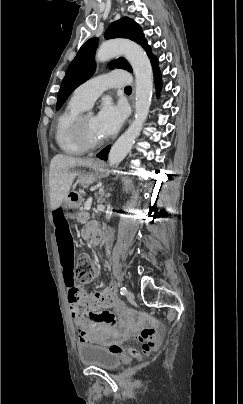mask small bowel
Segmentation results:
<instances>
[{"label":"small bowel","mask_w":243,"mask_h":404,"mask_svg":"<svg viewBox=\"0 0 243 404\" xmlns=\"http://www.w3.org/2000/svg\"><path fill=\"white\" fill-rule=\"evenodd\" d=\"M52 221L63 278L69 297L71 298L73 293L80 290L75 284L73 275V239L69 231L66 214L62 208L53 210ZM92 229L94 227L91 225L87 228V231H91ZM70 314L78 328L79 341L81 343L101 344L110 340L120 341L123 338V335L115 330V325L118 323L121 327H124L125 322L123 320L117 322L114 314L110 311H84L77 305L71 304Z\"/></svg>","instance_id":"c3829d8e"}]
</instances>
